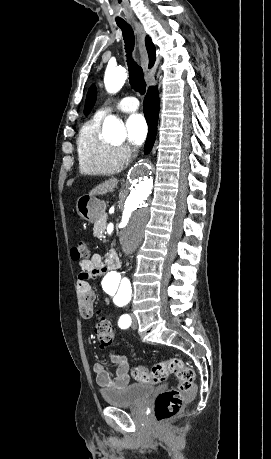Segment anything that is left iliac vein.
Returning a JSON list of instances; mask_svg holds the SVG:
<instances>
[{
	"instance_id": "obj_1",
	"label": "left iliac vein",
	"mask_w": 271,
	"mask_h": 459,
	"mask_svg": "<svg viewBox=\"0 0 271 459\" xmlns=\"http://www.w3.org/2000/svg\"><path fill=\"white\" fill-rule=\"evenodd\" d=\"M131 317H132V328L133 329H136L137 328V321H136V317L134 314H131Z\"/></svg>"
}]
</instances>
